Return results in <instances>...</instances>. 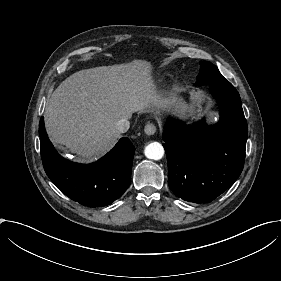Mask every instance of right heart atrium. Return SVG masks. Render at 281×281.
I'll use <instances>...</instances> for the list:
<instances>
[{
  "label": "right heart atrium",
  "instance_id": "right-heart-atrium-1",
  "mask_svg": "<svg viewBox=\"0 0 281 281\" xmlns=\"http://www.w3.org/2000/svg\"><path fill=\"white\" fill-rule=\"evenodd\" d=\"M125 116L126 112L123 105L119 102H115L111 107V110L108 114V118L112 121H117L123 119Z\"/></svg>",
  "mask_w": 281,
  "mask_h": 281
}]
</instances>
